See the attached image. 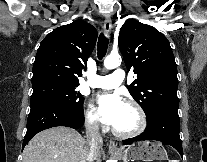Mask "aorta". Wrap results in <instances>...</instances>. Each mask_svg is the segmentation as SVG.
I'll list each match as a JSON object with an SVG mask.
<instances>
[{"label":"aorta","instance_id":"aorta-1","mask_svg":"<svg viewBox=\"0 0 207 162\" xmlns=\"http://www.w3.org/2000/svg\"><path fill=\"white\" fill-rule=\"evenodd\" d=\"M120 64L121 57L118 54H110L104 60V67L106 69H115L120 66Z\"/></svg>","mask_w":207,"mask_h":162}]
</instances>
